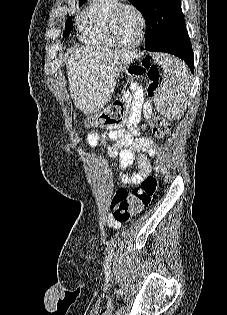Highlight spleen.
I'll use <instances>...</instances> for the list:
<instances>
[{"label":"spleen","instance_id":"spleen-1","mask_svg":"<svg viewBox=\"0 0 227 315\" xmlns=\"http://www.w3.org/2000/svg\"><path fill=\"white\" fill-rule=\"evenodd\" d=\"M154 60L164 70L161 88L155 96L156 107L169 119L180 118L190 90L188 70L179 60L166 54H156Z\"/></svg>","mask_w":227,"mask_h":315}]
</instances>
